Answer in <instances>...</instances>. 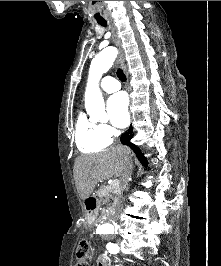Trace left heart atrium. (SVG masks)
Masks as SVG:
<instances>
[{
    "label": "left heart atrium",
    "mask_w": 221,
    "mask_h": 266,
    "mask_svg": "<svg viewBox=\"0 0 221 266\" xmlns=\"http://www.w3.org/2000/svg\"><path fill=\"white\" fill-rule=\"evenodd\" d=\"M129 101L127 95L119 92L111 96L107 101V111L112 124L118 128H124L129 123Z\"/></svg>",
    "instance_id": "obj_1"
}]
</instances>
